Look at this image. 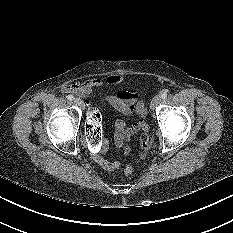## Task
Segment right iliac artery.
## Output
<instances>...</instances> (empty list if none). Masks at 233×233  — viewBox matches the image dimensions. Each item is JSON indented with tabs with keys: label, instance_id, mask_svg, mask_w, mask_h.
Returning a JSON list of instances; mask_svg holds the SVG:
<instances>
[{
	"label": "right iliac artery",
	"instance_id": "obj_1",
	"mask_svg": "<svg viewBox=\"0 0 233 233\" xmlns=\"http://www.w3.org/2000/svg\"><path fill=\"white\" fill-rule=\"evenodd\" d=\"M67 99H68V100H73L74 97H73V95H68V96H67Z\"/></svg>",
	"mask_w": 233,
	"mask_h": 233
}]
</instances>
